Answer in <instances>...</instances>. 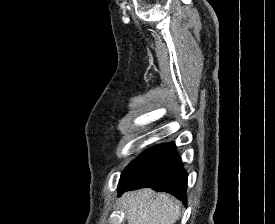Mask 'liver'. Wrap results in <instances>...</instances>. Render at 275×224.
<instances>
[{
    "instance_id": "obj_1",
    "label": "liver",
    "mask_w": 275,
    "mask_h": 224,
    "mask_svg": "<svg viewBox=\"0 0 275 224\" xmlns=\"http://www.w3.org/2000/svg\"><path fill=\"white\" fill-rule=\"evenodd\" d=\"M128 224H175L181 216V203L167 193L150 188L125 192L118 200Z\"/></svg>"
}]
</instances>
